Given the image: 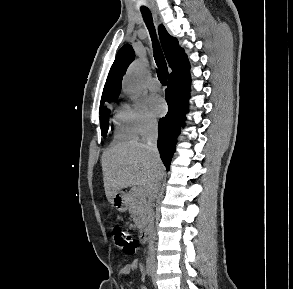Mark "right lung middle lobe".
<instances>
[{
    "mask_svg": "<svg viewBox=\"0 0 293 289\" xmlns=\"http://www.w3.org/2000/svg\"><path fill=\"white\" fill-rule=\"evenodd\" d=\"M109 101V100H107ZM105 101L101 102L100 104V126H101V134L102 136H106L108 131V122L110 117V111H102V107Z\"/></svg>",
    "mask_w": 293,
    "mask_h": 289,
    "instance_id": "obj_1",
    "label": "right lung middle lobe"
}]
</instances>
